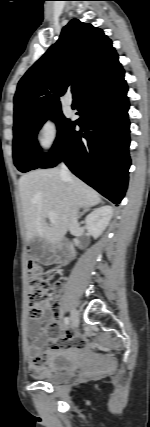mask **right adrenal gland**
Returning <instances> with one entry per match:
<instances>
[{
    "instance_id": "2a0ac1e0",
    "label": "right adrenal gland",
    "mask_w": 150,
    "mask_h": 427,
    "mask_svg": "<svg viewBox=\"0 0 150 427\" xmlns=\"http://www.w3.org/2000/svg\"><path fill=\"white\" fill-rule=\"evenodd\" d=\"M88 211H89V207L85 208V210L81 213L80 217L83 216Z\"/></svg>"
}]
</instances>
